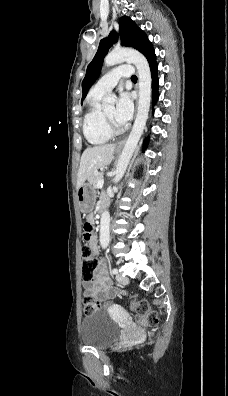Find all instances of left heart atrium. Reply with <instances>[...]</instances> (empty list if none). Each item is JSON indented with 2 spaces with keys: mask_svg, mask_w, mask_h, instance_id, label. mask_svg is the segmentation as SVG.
<instances>
[{
  "mask_svg": "<svg viewBox=\"0 0 228 396\" xmlns=\"http://www.w3.org/2000/svg\"><path fill=\"white\" fill-rule=\"evenodd\" d=\"M133 102L127 92H121L116 104L114 119L117 124L125 125L132 117Z\"/></svg>",
  "mask_w": 228,
  "mask_h": 396,
  "instance_id": "1",
  "label": "left heart atrium"
}]
</instances>
